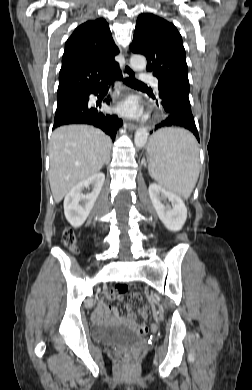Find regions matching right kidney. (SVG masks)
Instances as JSON below:
<instances>
[{"instance_id": "ca27d5eb", "label": "right kidney", "mask_w": 252, "mask_h": 390, "mask_svg": "<svg viewBox=\"0 0 252 390\" xmlns=\"http://www.w3.org/2000/svg\"><path fill=\"white\" fill-rule=\"evenodd\" d=\"M105 175L98 172L74 186L64 199V213L68 222L75 228L87 219L101 191ZM92 187L91 193L83 194L85 188Z\"/></svg>"}]
</instances>
